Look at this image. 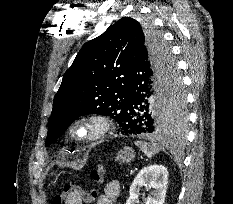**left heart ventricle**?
Returning <instances> with one entry per match:
<instances>
[{
  "instance_id": "left-heart-ventricle-1",
  "label": "left heart ventricle",
  "mask_w": 233,
  "mask_h": 204,
  "mask_svg": "<svg viewBox=\"0 0 233 204\" xmlns=\"http://www.w3.org/2000/svg\"><path fill=\"white\" fill-rule=\"evenodd\" d=\"M90 132H91V130L89 128H87V127H81V128H79L77 130L76 133H77V135L79 137H82V136H85V135L89 134Z\"/></svg>"
}]
</instances>
